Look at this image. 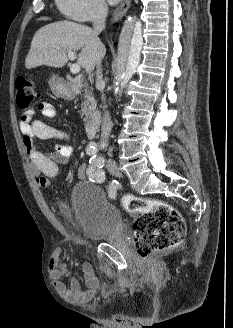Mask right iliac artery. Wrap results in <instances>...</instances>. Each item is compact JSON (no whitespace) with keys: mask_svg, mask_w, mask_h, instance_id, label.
<instances>
[{"mask_svg":"<svg viewBox=\"0 0 233 328\" xmlns=\"http://www.w3.org/2000/svg\"><path fill=\"white\" fill-rule=\"evenodd\" d=\"M86 152L88 155H96V153L98 152V147L95 143H90L89 146L86 149ZM117 188H118V182L117 181H113L108 189V195L111 199H115L116 195H117Z\"/></svg>","mask_w":233,"mask_h":328,"instance_id":"obj_1","label":"right iliac artery"}]
</instances>
